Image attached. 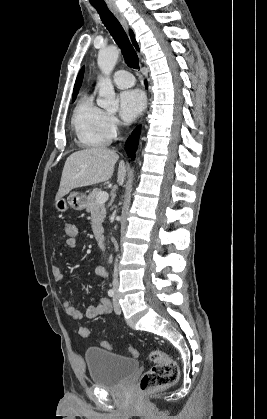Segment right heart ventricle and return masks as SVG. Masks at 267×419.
I'll return each instance as SVG.
<instances>
[{
	"label": "right heart ventricle",
	"instance_id": "right-heart-ventricle-1",
	"mask_svg": "<svg viewBox=\"0 0 267 419\" xmlns=\"http://www.w3.org/2000/svg\"><path fill=\"white\" fill-rule=\"evenodd\" d=\"M108 114L94 102L92 94H84L78 100L73 114L72 126L78 141L85 147L106 146L111 140L107 129Z\"/></svg>",
	"mask_w": 267,
	"mask_h": 419
}]
</instances>
